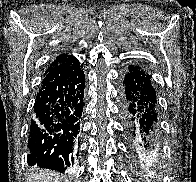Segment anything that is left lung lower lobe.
Instances as JSON below:
<instances>
[{"label":"left lung lower lobe","mask_w":196,"mask_h":182,"mask_svg":"<svg viewBox=\"0 0 196 182\" xmlns=\"http://www.w3.org/2000/svg\"><path fill=\"white\" fill-rule=\"evenodd\" d=\"M123 85V117L135 154L139 158L155 157L160 127L151 77L139 65L130 64Z\"/></svg>","instance_id":"left-lung-lower-lobe-1"}]
</instances>
